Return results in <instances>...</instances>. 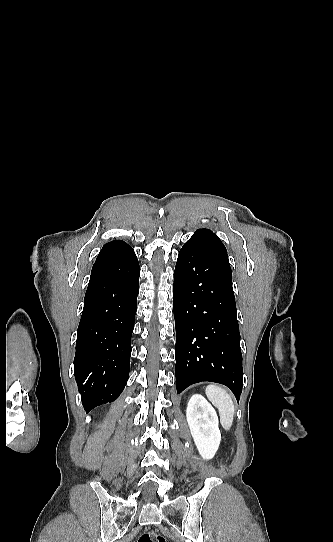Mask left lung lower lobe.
<instances>
[{
  "mask_svg": "<svg viewBox=\"0 0 333 542\" xmlns=\"http://www.w3.org/2000/svg\"><path fill=\"white\" fill-rule=\"evenodd\" d=\"M173 299L177 393L211 381L229 387L239 400L242 353L228 257L188 240L178 254Z\"/></svg>",
  "mask_w": 333,
  "mask_h": 542,
  "instance_id": "0a47b994",
  "label": "left lung lower lobe"
}]
</instances>
